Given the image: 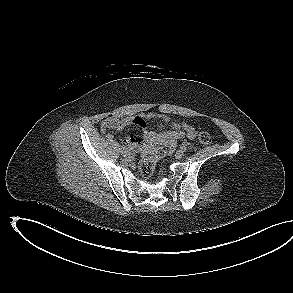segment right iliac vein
<instances>
[{
	"instance_id": "1",
	"label": "right iliac vein",
	"mask_w": 293,
	"mask_h": 293,
	"mask_svg": "<svg viewBox=\"0 0 293 293\" xmlns=\"http://www.w3.org/2000/svg\"><path fill=\"white\" fill-rule=\"evenodd\" d=\"M120 150V153L123 155V156H128L130 155V151L127 149V148H122V149H119Z\"/></svg>"
}]
</instances>
